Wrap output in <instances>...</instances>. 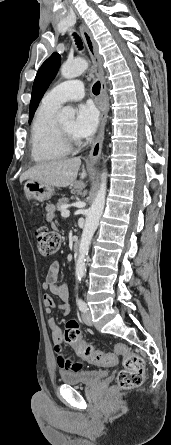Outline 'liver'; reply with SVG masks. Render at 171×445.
Instances as JSON below:
<instances>
[{
	"label": "liver",
	"instance_id": "liver-1",
	"mask_svg": "<svg viewBox=\"0 0 171 445\" xmlns=\"http://www.w3.org/2000/svg\"><path fill=\"white\" fill-rule=\"evenodd\" d=\"M80 165L81 160L78 157L45 162L25 171L20 176V182L29 179L64 188L76 180ZM86 176L87 173L83 170L81 179Z\"/></svg>",
	"mask_w": 171,
	"mask_h": 445
}]
</instances>
